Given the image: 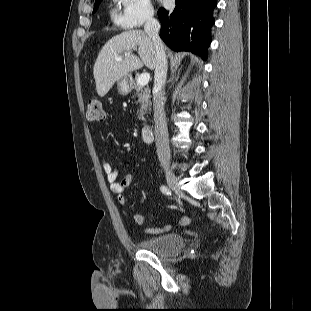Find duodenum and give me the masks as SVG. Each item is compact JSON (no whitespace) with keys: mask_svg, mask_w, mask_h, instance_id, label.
Here are the masks:
<instances>
[{"mask_svg":"<svg viewBox=\"0 0 311 311\" xmlns=\"http://www.w3.org/2000/svg\"><path fill=\"white\" fill-rule=\"evenodd\" d=\"M141 134H142L143 140L145 142H151V140H152V128L150 125L143 126L142 130H141Z\"/></svg>","mask_w":311,"mask_h":311,"instance_id":"duodenum-1","label":"duodenum"}]
</instances>
